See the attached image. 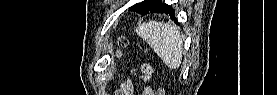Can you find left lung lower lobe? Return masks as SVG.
<instances>
[{
    "label": "left lung lower lobe",
    "instance_id": "left-lung-lower-lobe-1",
    "mask_svg": "<svg viewBox=\"0 0 277 95\" xmlns=\"http://www.w3.org/2000/svg\"><path fill=\"white\" fill-rule=\"evenodd\" d=\"M129 10L140 13L141 15H145L147 13H153V12L165 13V14H169L172 19L174 18L176 20L175 12L170 6L164 3H162L159 6H152V0H144L142 3H137L131 6Z\"/></svg>",
    "mask_w": 277,
    "mask_h": 95
}]
</instances>
